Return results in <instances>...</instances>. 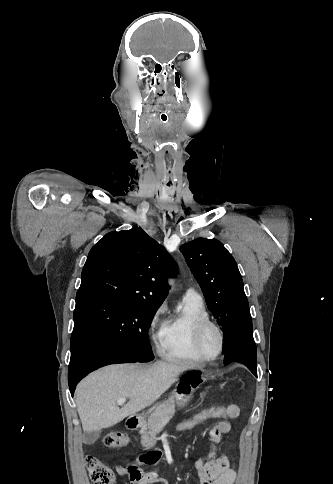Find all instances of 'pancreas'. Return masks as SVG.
I'll list each match as a JSON object with an SVG mask.
<instances>
[{
	"label": "pancreas",
	"mask_w": 333,
	"mask_h": 484,
	"mask_svg": "<svg viewBox=\"0 0 333 484\" xmlns=\"http://www.w3.org/2000/svg\"><path fill=\"white\" fill-rule=\"evenodd\" d=\"M175 413V399L170 398L168 402L157 409L153 414L148 417L147 423H145L139 434L141 435V444L146 449L153 447L157 442V435L162 428Z\"/></svg>",
	"instance_id": "cf45deb5"
}]
</instances>
